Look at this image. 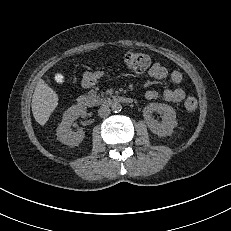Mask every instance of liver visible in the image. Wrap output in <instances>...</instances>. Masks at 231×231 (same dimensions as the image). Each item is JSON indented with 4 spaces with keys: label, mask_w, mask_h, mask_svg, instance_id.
<instances>
[{
    "label": "liver",
    "mask_w": 231,
    "mask_h": 231,
    "mask_svg": "<svg viewBox=\"0 0 231 231\" xmlns=\"http://www.w3.org/2000/svg\"><path fill=\"white\" fill-rule=\"evenodd\" d=\"M58 105V95L44 81L39 80L32 97V113L41 126H44Z\"/></svg>",
    "instance_id": "obj_1"
}]
</instances>
